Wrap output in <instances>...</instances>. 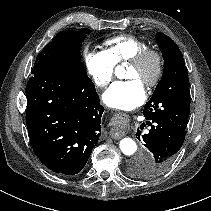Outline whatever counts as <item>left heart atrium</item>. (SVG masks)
Segmentation results:
<instances>
[{"mask_svg": "<svg viewBox=\"0 0 211 211\" xmlns=\"http://www.w3.org/2000/svg\"><path fill=\"white\" fill-rule=\"evenodd\" d=\"M146 97L143 83L136 78L114 82L103 94L107 106L117 110H132Z\"/></svg>", "mask_w": 211, "mask_h": 211, "instance_id": "1", "label": "left heart atrium"}]
</instances>
